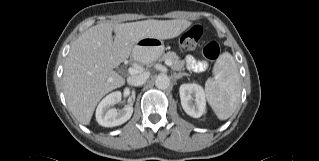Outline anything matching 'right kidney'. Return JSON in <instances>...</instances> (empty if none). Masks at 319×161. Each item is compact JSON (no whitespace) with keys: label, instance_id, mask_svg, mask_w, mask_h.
Masks as SVG:
<instances>
[{"label":"right kidney","instance_id":"right-kidney-1","mask_svg":"<svg viewBox=\"0 0 319 161\" xmlns=\"http://www.w3.org/2000/svg\"><path fill=\"white\" fill-rule=\"evenodd\" d=\"M121 101V92L115 91L108 94L99 103L96 109V120L104 127H114L125 123L130 119L133 113V107L126 105L123 109L117 111L115 108H110L112 105Z\"/></svg>","mask_w":319,"mask_h":161}]
</instances>
